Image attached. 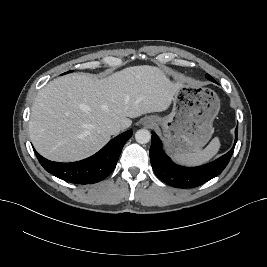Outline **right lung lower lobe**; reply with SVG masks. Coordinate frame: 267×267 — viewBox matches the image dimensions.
I'll return each mask as SVG.
<instances>
[{
    "label": "right lung lower lobe",
    "instance_id": "obj_1",
    "mask_svg": "<svg viewBox=\"0 0 267 267\" xmlns=\"http://www.w3.org/2000/svg\"><path fill=\"white\" fill-rule=\"evenodd\" d=\"M131 136L132 131H126L93 156L73 163L53 162L34 152L43 168L52 175L71 183L92 184L106 178L114 170L122 148Z\"/></svg>",
    "mask_w": 267,
    "mask_h": 267
}]
</instances>
